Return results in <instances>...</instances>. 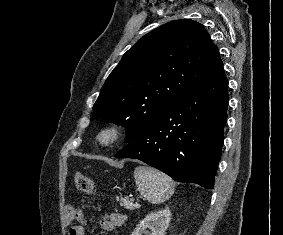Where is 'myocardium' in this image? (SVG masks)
<instances>
[{"label":"myocardium","instance_id":"obj_1","mask_svg":"<svg viewBox=\"0 0 283 235\" xmlns=\"http://www.w3.org/2000/svg\"><path fill=\"white\" fill-rule=\"evenodd\" d=\"M124 134L122 125L118 122H110L103 125L96 135V142L104 148L118 143Z\"/></svg>","mask_w":283,"mask_h":235}]
</instances>
